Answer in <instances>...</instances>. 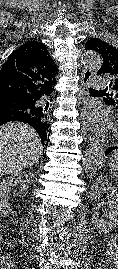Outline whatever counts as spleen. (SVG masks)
Instances as JSON below:
<instances>
[{"label":"spleen","mask_w":118,"mask_h":269,"mask_svg":"<svg viewBox=\"0 0 118 269\" xmlns=\"http://www.w3.org/2000/svg\"><path fill=\"white\" fill-rule=\"evenodd\" d=\"M110 171L112 175L118 179V150H116L110 158Z\"/></svg>","instance_id":"1"}]
</instances>
